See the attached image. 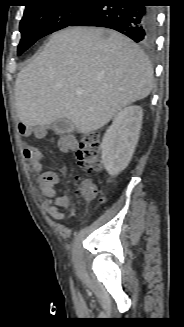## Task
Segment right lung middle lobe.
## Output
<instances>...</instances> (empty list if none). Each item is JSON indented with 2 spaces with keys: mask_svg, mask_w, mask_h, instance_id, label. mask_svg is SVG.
<instances>
[{
  "mask_svg": "<svg viewBox=\"0 0 184 327\" xmlns=\"http://www.w3.org/2000/svg\"><path fill=\"white\" fill-rule=\"evenodd\" d=\"M68 1L71 0H47L25 8L19 25L18 56L38 39L70 26L92 7L91 4H71Z\"/></svg>",
  "mask_w": 184,
  "mask_h": 327,
  "instance_id": "obj_1",
  "label": "right lung middle lobe"
}]
</instances>
